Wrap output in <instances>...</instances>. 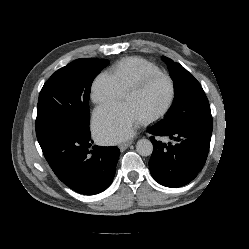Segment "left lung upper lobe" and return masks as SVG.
<instances>
[{
	"mask_svg": "<svg viewBox=\"0 0 249 249\" xmlns=\"http://www.w3.org/2000/svg\"><path fill=\"white\" fill-rule=\"evenodd\" d=\"M174 81L175 100L159 123L167 129H182L212 123L208 99L199 82L179 63L162 56Z\"/></svg>",
	"mask_w": 249,
	"mask_h": 249,
	"instance_id": "obj_1",
	"label": "left lung upper lobe"
}]
</instances>
